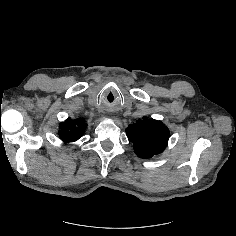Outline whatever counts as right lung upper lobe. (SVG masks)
<instances>
[{
  "label": "right lung upper lobe",
  "instance_id": "obj_1",
  "mask_svg": "<svg viewBox=\"0 0 236 236\" xmlns=\"http://www.w3.org/2000/svg\"><path fill=\"white\" fill-rule=\"evenodd\" d=\"M86 122L83 119L68 118L59 125V135L64 142L77 141L85 132Z\"/></svg>",
  "mask_w": 236,
  "mask_h": 236
}]
</instances>
